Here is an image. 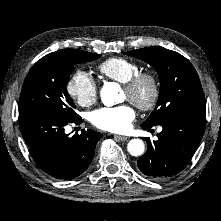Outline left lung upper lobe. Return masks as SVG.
Returning <instances> with one entry per match:
<instances>
[{"mask_svg": "<svg viewBox=\"0 0 221 221\" xmlns=\"http://www.w3.org/2000/svg\"><path fill=\"white\" fill-rule=\"evenodd\" d=\"M154 66L160 92L154 111L142 124L153 127L166 119L191 110H205V97L198 74L181 54L159 46L126 52Z\"/></svg>", "mask_w": 221, "mask_h": 221, "instance_id": "5c2ea615", "label": "left lung upper lobe"}]
</instances>
